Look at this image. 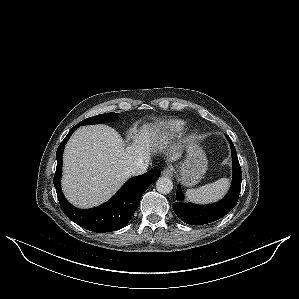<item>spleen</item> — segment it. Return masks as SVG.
<instances>
[{
	"label": "spleen",
	"mask_w": 299,
	"mask_h": 299,
	"mask_svg": "<svg viewBox=\"0 0 299 299\" xmlns=\"http://www.w3.org/2000/svg\"><path fill=\"white\" fill-rule=\"evenodd\" d=\"M228 178H221L213 183L203 185L196 189H188L186 198L197 204H206L219 200L229 188Z\"/></svg>",
	"instance_id": "obj_1"
}]
</instances>
